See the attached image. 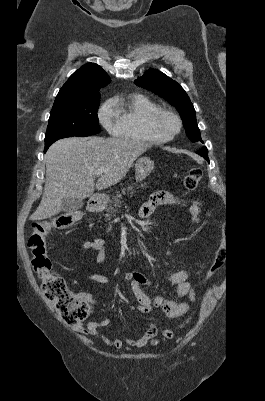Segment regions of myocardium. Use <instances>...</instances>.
Wrapping results in <instances>:
<instances>
[{"label":"myocardium","mask_w":265,"mask_h":401,"mask_svg":"<svg viewBox=\"0 0 265 401\" xmlns=\"http://www.w3.org/2000/svg\"><path fill=\"white\" fill-rule=\"evenodd\" d=\"M161 117L170 118V119L174 120L176 122V124H177L176 131L170 137H167V138H164V139L158 138L157 135H156V132H155L156 123ZM147 127H148L149 132L153 135V139H154L155 142H157V143H165V142L173 140L175 137H177L181 133L182 127H183V123H182L181 118L177 114H175V113H173V112H171L169 110L159 108V109L153 111L148 116Z\"/></svg>","instance_id":"obj_1"}]
</instances>
